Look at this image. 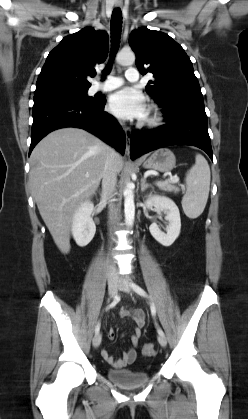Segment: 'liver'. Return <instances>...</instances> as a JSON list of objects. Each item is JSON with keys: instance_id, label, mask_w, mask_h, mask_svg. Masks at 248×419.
Returning a JSON list of instances; mask_svg holds the SVG:
<instances>
[{"instance_id": "liver-1", "label": "liver", "mask_w": 248, "mask_h": 419, "mask_svg": "<svg viewBox=\"0 0 248 419\" xmlns=\"http://www.w3.org/2000/svg\"><path fill=\"white\" fill-rule=\"evenodd\" d=\"M109 147L79 128H62L43 138L30 157V185L40 215L62 253L70 251L73 215L99 186ZM117 171L123 159L115 157Z\"/></svg>"}]
</instances>
